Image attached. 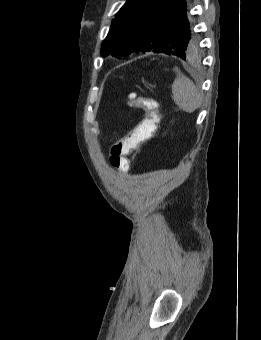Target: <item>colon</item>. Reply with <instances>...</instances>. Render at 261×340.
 Here are the masks:
<instances>
[{
  "label": "colon",
  "mask_w": 261,
  "mask_h": 340,
  "mask_svg": "<svg viewBox=\"0 0 261 340\" xmlns=\"http://www.w3.org/2000/svg\"><path fill=\"white\" fill-rule=\"evenodd\" d=\"M128 105L144 111V118L125 136L118 139L110 149V163L119 169H126V156L135 151L155 132L160 121L159 102L151 97H139L135 93L128 96Z\"/></svg>",
  "instance_id": "1"
}]
</instances>
